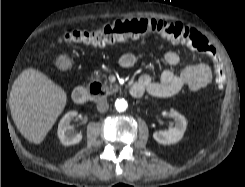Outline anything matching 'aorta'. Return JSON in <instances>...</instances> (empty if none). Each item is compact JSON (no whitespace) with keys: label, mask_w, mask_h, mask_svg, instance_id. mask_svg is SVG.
I'll list each match as a JSON object with an SVG mask.
<instances>
[{"label":"aorta","mask_w":245,"mask_h":187,"mask_svg":"<svg viewBox=\"0 0 245 187\" xmlns=\"http://www.w3.org/2000/svg\"><path fill=\"white\" fill-rule=\"evenodd\" d=\"M127 106H128L127 101L124 99H117L115 102V108L118 112L125 111Z\"/></svg>","instance_id":"1"}]
</instances>
